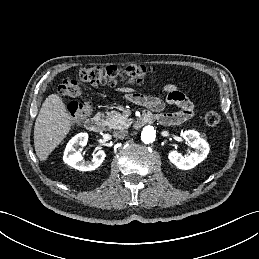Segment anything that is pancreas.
I'll return each instance as SVG.
<instances>
[{
    "label": "pancreas",
    "instance_id": "obj_1",
    "mask_svg": "<svg viewBox=\"0 0 259 259\" xmlns=\"http://www.w3.org/2000/svg\"><path fill=\"white\" fill-rule=\"evenodd\" d=\"M102 117L110 129H126L132 124V119H128L117 111L107 112Z\"/></svg>",
    "mask_w": 259,
    "mask_h": 259
}]
</instances>
